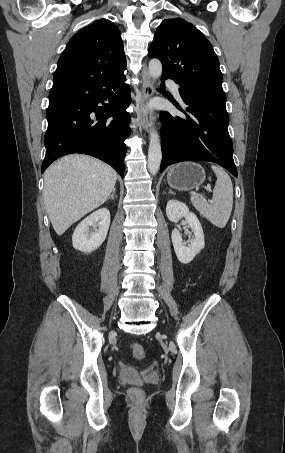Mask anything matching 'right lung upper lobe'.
Listing matches in <instances>:
<instances>
[{
  "mask_svg": "<svg viewBox=\"0 0 285 453\" xmlns=\"http://www.w3.org/2000/svg\"><path fill=\"white\" fill-rule=\"evenodd\" d=\"M127 69L121 33L110 20H96L78 31L60 56L53 80H95L124 74Z\"/></svg>",
  "mask_w": 285,
  "mask_h": 453,
  "instance_id": "right-lung-upper-lobe-1",
  "label": "right lung upper lobe"
}]
</instances>
